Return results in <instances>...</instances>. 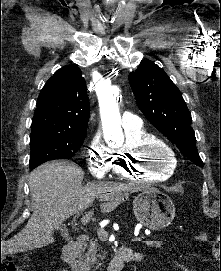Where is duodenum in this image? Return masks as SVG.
Wrapping results in <instances>:
<instances>
[{"label":"duodenum","instance_id":"410a0bca","mask_svg":"<svg viewBox=\"0 0 221 271\" xmlns=\"http://www.w3.org/2000/svg\"><path fill=\"white\" fill-rule=\"evenodd\" d=\"M87 239L86 234H80L70 240L62 249V259L72 271H88V268L78 258L80 248ZM141 259L139 254L133 253L129 248H119L108 264L107 271H122L125 263L139 262Z\"/></svg>","mask_w":221,"mask_h":271}]
</instances>
